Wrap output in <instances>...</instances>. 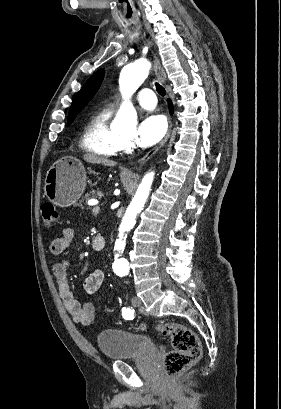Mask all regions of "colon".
<instances>
[{
    "label": "colon",
    "mask_w": 281,
    "mask_h": 409,
    "mask_svg": "<svg viewBox=\"0 0 281 409\" xmlns=\"http://www.w3.org/2000/svg\"><path fill=\"white\" fill-rule=\"evenodd\" d=\"M41 216L45 227H52L58 222V212L52 203L41 205ZM150 328L170 338L173 350L164 357L165 372L176 374L200 358L198 336L191 328L171 323H153Z\"/></svg>",
    "instance_id": "obj_1"
}]
</instances>
